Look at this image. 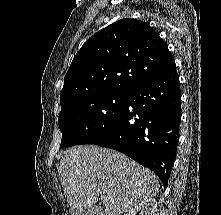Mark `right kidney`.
<instances>
[{"label":"right kidney","mask_w":221,"mask_h":215,"mask_svg":"<svg viewBox=\"0 0 221 215\" xmlns=\"http://www.w3.org/2000/svg\"><path fill=\"white\" fill-rule=\"evenodd\" d=\"M157 210V201L154 198H148L129 210L127 215H155Z\"/></svg>","instance_id":"1"}]
</instances>
